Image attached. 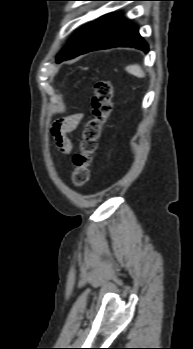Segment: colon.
Wrapping results in <instances>:
<instances>
[{"label": "colon", "instance_id": "1", "mask_svg": "<svg viewBox=\"0 0 193 349\" xmlns=\"http://www.w3.org/2000/svg\"><path fill=\"white\" fill-rule=\"evenodd\" d=\"M113 108V85L107 79L95 84L92 99V117L86 123L79 143L78 151L73 155L74 169L71 180L75 187L86 184L90 177V167L98 146L103 125L108 120Z\"/></svg>", "mask_w": 193, "mask_h": 349}]
</instances>
